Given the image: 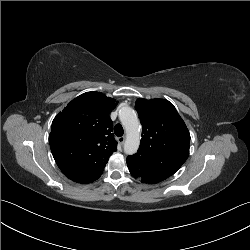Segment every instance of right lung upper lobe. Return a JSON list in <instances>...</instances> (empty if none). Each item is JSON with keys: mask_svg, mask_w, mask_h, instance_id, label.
<instances>
[{"mask_svg": "<svg viewBox=\"0 0 250 250\" xmlns=\"http://www.w3.org/2000/svg\"><path fill=\"white\" fill-rule=\"evenodd\" d=\"M114 99L87 92L73 99L54 118L49 142L53 157L69 179L78 183L97 180L117 150L109 117Z\"/></svg>", "mask_w": 250, "mask_h": 250, "instance_id": "1", "label": "right lung upper lobe"}]
</instances>
